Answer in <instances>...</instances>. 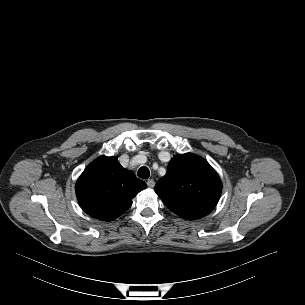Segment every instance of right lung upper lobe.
<instances>
[{
	"mask_svg": "<svg viewBox=\"0 0 305 305\" xmlns=\"http://www.w3.org/2000/svg\"><path fill=\"white\" fill-rule=\"evenodd\" d=\"M146 183L124 169L117 157L100 156L90 163L76 183L82 209L100 220L112 221L123 214Z\"/></svg>",
	"mask_w": 305,
	"mask_h": 305,
	"instance_id": "right-lung-upper-lobe-1",
	"label": "right lung upper lobe"
}]
</instances>
